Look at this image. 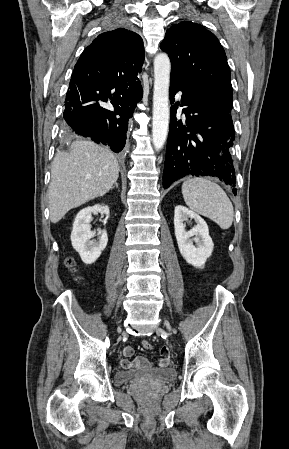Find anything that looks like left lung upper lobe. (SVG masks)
<instances>
[{
  "mask_svg": "<svg viewBox=\"0 0 289 449\" xmlns=\"http://www.w3.org/2000/svg\"><path fill=\"white\" fill-rule=\"evenodd\" d=\"M161 49L171 61V79L197 86L212 104L231 113L230 68L217 37L204 26L183 21L165 34Z\"/></svg>",
  "mask_w": 289,
  "mask_h": 449,
  "instance_id": "1",
  "label": "left lung upper lobe"
}]
</instances>
